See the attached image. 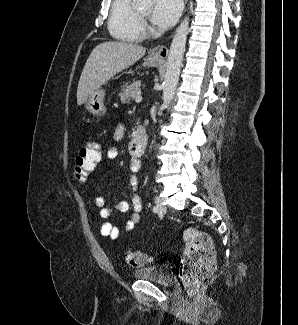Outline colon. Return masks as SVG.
Here are the masks:
<instances>
[{
    "label": "colon",
    "mask_w": 298,
    "mask_h": 325,
    "mask_svg": "<svg viewBox=\"0 0 298 325\" xmlns=\"http://www.w3.org/2000/svg\"><path fill=\"white\" fill-rule=\"evenodd\" d=\"M101 157V147L96 141H87L81 147L74 166V177L84 182L95 170ZM184 252L179 266V276L191 293L203 286L215 269V254L210 237L198 229L184 233ZM125 262L140 267L149 262V256L137 250L125 253Z\"/></svg>",
    "instance_id": "5ec220e1"
}]
</instances>
